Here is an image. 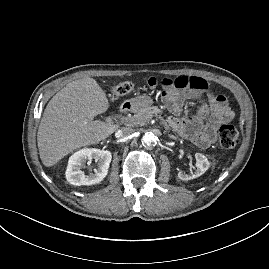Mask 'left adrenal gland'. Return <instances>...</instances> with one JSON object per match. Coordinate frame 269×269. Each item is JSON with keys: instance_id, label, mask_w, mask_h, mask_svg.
I'll list each match as a JSON object with an SVG mask.
<instances>
[{"instance_id": "a2214340", "label": "left adrenal gland", "mask_w": 269, "mask_h": 269, "mask_svg": "<svg viewBox=\"0 0 269 269\" xmlns=\"http://www.w3.org/2000/svg\"><path fill=\"white\" fill-rule=\"evenodd\" d=\"M168 137H169V138H171V139H176V137H175V136L170 135V134L168 135Z\"/></svg>"}]
</instances>
